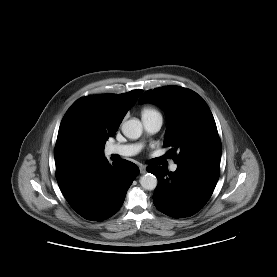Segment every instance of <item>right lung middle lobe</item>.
Wrapping results in <instances>:
<instances>
[{"label": "right lung middle lobe", "instance_id": "right-lung-middle-lobe-1", "mask_svg": "<svg viewBox=\"0 0 277 277\" xmlns=\"http://www.w3.org/2000/svg\"><path fill=\"white\" fill-rule=\"evenodd\" d=\"M108 138L109 137L105 136V135H98L97 136V139H98V141L100 143V146H101V150L104 149V147H105V141L108 140Z\"/></svg>", "mask_w": 277, "mask_h": 277}]
</instances>
